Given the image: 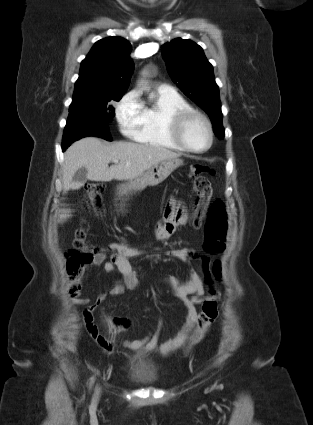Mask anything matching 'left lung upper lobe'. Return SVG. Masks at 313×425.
I'll list each match as a JSON object with an SVG mask.
<instances>
[{
    "label": "left lung upper lobe",
    "mask_w": 313,
    "mask_h": 425,
    "mask_svg": "<svg viewBox=\"0 0 313 425\" xmlns=\"http://www.w3.org/2000/svg\"><path fill=\"white\" fill-rule=\"evenodd\" d=\"M162 55L173 82L209 115L216 136L223 139L219 88L203 49L189 39L176 38L162 46Z\"/></svg>",
    "instance_id": "obj_1"
}]
</instances>
